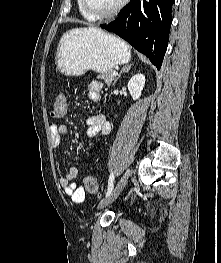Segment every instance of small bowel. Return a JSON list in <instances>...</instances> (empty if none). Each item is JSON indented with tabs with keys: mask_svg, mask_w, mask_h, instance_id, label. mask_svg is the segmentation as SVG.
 Here are the masks:
<instances>
[{
	"mask_svg": "<svg viewBox=\"0 0 221 263\" xmlns=\"http://www.w3.org/2000/svg\"><path fill=\"white\" fill-rule=\"evenodd\" d=\"M103 85L101 82L92 81L87 85V94L91 101L98 102L101 100V92ZM88 129L87 136L90 139L98 135H107L110 132V124L102 114L90 116L87 119ZM69 132V128L65 124L51 126V142L54 147H58L62 142V137ZM79 177V170L75 167L60 177L59 182L66 195L72 202L81 204L85 201V191L78 187L74 182Z\"/></svg>",
	"mask_w": 221,
	"mask_h": 263,
	"instance_id": "obj_1",
	"label": "small bowel"
}]
</instances>
